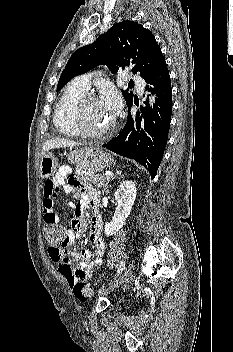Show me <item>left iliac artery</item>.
Here are the masks:
<instances>
[{
	"label": "left iliac artery",
	"instance_id": "44dca946",
	"mask_svg": "<svg viewBox=\"0 0 233 352\" xmlns=\"http://www.w3.org/2000/svg\"><path fill=\"white\" fill-rule=\"evenodd\" d=\"M124 268H125V262H121V264L119 265L118 271H117V276L122 273Z\"/></svg>",
	"mask_w": 233,
	"mask_h": 352
}]
</instances>
